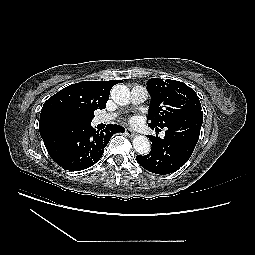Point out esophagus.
<instances>
[{"label":"esophagus","mask_w":255,"mask_h":255,"mask_svg":"<svg viewBox=\"0 0 255 255\" xmlns=\"http://www.w3.org/2000/svg\"><path fill=\"white\" fill-rule=\"evenodd\" d=\"M126 135H128L129 137H133L135 135V133L130 128H128V129H126Z\"/></svg>","instance_id":"1"}]
</instances>
